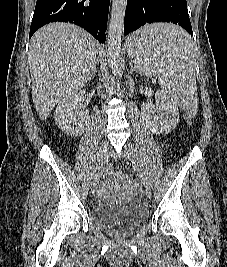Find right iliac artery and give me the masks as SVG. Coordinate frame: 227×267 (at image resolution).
Wrapping results in <instances>:
<instances>
[{
  "label": "right iliac artery",
  "instance_id": "1",
  "mask_svg": "<svg viewBox=\"0 0 227 267\" xmlns=\"http://www.w3.org/2000/svg\"><path fill=\"white\" fill-rule=\"evenodd\" d=\"M96 172V169L94 170L93 174Z\"/></svg>",
  "mask_w": 227,
  "mask_h": 267
}]
</instances>
